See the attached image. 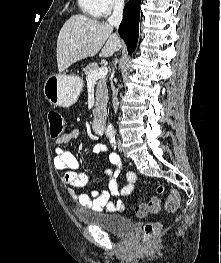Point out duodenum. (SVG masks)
<instances>
[{
	"label": "duodenum",
	"instance_id": "1",
	"mask_svg": "<svg viewBox=\"0 0 221 263\" xmlns=\"http://www.w3.org/2000/svg\"><path fill=\"white\" fill-rule=\"evenodd\" d=\"M105 126H106L105 116L97 117L92 121V128L94 132L97 134H103L105 131Z\"/></svg>",
	"mask_w": 221,
	"mask_h": 263
}]
</instances>
